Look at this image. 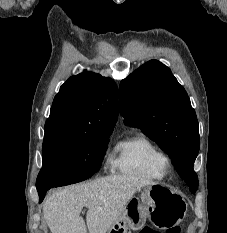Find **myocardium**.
<instances>
[{"label": "myocardium", "mask_w": 227, "mask_h": 233, "mask_svg": "<svg viewBox=\"0 0 227 233\" xmlns=\"http://www.w3.org/2000/svg\"><path fill=\"white\" fill-rule=\"evenodd\" d=\"M169 166H170V163H169V160H168V162H167V164H166V171H168Z\"/></svg>", "instance_id": "myocardium-1"}]
</instances>
